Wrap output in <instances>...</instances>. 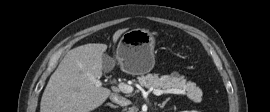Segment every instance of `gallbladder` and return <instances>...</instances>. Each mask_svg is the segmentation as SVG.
<instances>
[{
    "label": "gallbladder",
    "mask_w": 270,
    "mask_h": 112,
    "mask_svg": "<svg viewBox=\"0 0 270 112\" xmlns=\"http://www.w3.org/2000/svg\"><path fill=\"white\" fill-rule=\"evenodd\" d=\"M103 69L105 71H110L114 65V62L110 56L107 54L102 55Z\"/></svg>",
    "instance_id": "bac80fb5"
}]
</instances>
